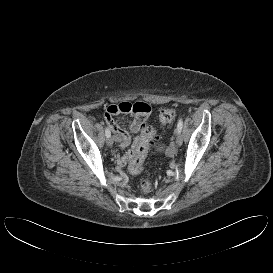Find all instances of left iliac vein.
I'll list each match as a JSON object with an SVG mask.
<instances>
[{
    "label": "left iliac vein",
    "mask_w": 273,
    "mask_h": 273,
    "mask_svg": "<svg viewBox=\"0 0 273 273\" xmlns=\"http://www.w3.org/2000/svg\"><path fill=\"white\" fill-rule=\"evenodd\" d=\"M182 142H183L182 134H181V132L177 131V133H176V144L178 146H181Z\"/></svg>",
    "instance_id": "obj_1"
}]
</instances>
